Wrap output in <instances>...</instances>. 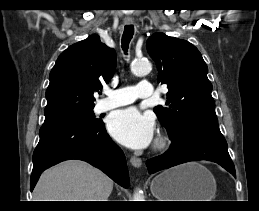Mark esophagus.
Returning <instances> with one entry per match:
<instances>
[{
  "instance_id": "obj_1",
  "label": "esophagus",
  "mask_w": 259,
  "mask_h": 211,
  "mask_svg": "<svg viewBox=\"0 0 259 211\" xmlns=\"http://www.w3.org/2000/svg\"><path fill=\"white\" fill-rule=\"evenodd\" d=\"M130 162L136 168H139L142 165V160L139 157H135V156L131 157Z\"/></svg>"
}]
</instances>
